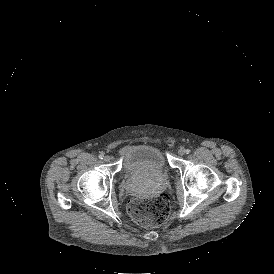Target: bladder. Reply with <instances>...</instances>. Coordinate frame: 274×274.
Here are the masks:
<instances>
[{
    "mask_svg": "<svg viewBox=\"0 0 274 274\" xmlns=\"http://www.w3.org/2000/svg\"><path fill=\"white\" fill-rule=\"evenodd\" d=\"M120 149L124 174L134 172H153L156 176L166 174L168 163L159 148L148 144H137L124 145Z\"/></svg>",
    "mask_w": 274,
    "mask_h": 274,
    "instance_id": "bladder-1",
    "label": "bladder"
}]
</instances>
